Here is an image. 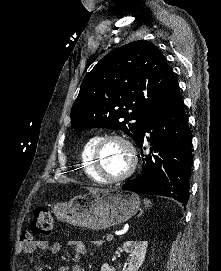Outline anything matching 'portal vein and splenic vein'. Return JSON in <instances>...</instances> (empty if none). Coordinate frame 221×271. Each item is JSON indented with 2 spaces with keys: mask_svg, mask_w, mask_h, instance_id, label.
<instances>
[{
  "mask_svg": "<svg viewBox=\"0 0 221 271\" xmlns=\"http://www.w3.org/2000/svg\"><path fill=\"white\" fill-rule=\"evenodd\" d=\"M106 240H114L115 236L114 235H106Z\"/></svg>",
  "mask_w": 221,
  "mask_h": 271,
  "instance_id": "portal-vein-and-splenic-vein-1",
  "label": "portal vein and splenic vein"
}]
</instances>
